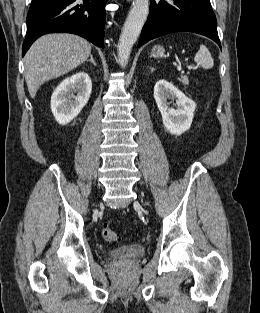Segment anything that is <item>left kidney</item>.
<instances>
[{"mask_svg": "<svg viewBox=\"0 0 260 313\" xmlns=\"http://www.w3.org/2000/svg\"><path fill=\"white\" fill-rule=\"evenodd\" d=\"M154 98L166 129L174 135L187 131L194 117L196 104L168 81L161 79L154 86ZM168 99H176L177 108L169 107Z\"/></svg>", "mask_w": 260, "mask_h": 313, "instance_id": "1", "label": "left kidney"}]
</instances>
